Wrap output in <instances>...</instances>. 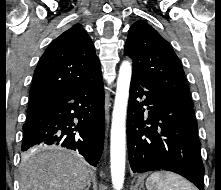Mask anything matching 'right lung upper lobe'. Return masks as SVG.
<instances>
[{"mask_svg": "<svg viewBox=\"0 0 221 190\" xmlns=\"http://www.w3.org/2000/svg\"><path fill=\"white\" fill-rule=\"evenodd\" d=\"M101 67L95 48L80 24L63 32L46 49L34 72L29 105L97 78Z\"/></svg>", "mask_w": 221, "mask_h": 190, "instance_id": "obj_1", "label": "right lung upper lobe"}]
</instances>
